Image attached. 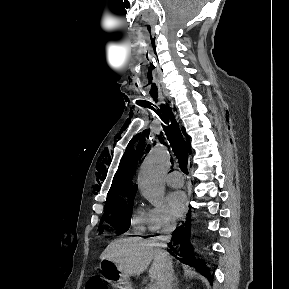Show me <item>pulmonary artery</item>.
<instances>
[{
	"mask_svg": "<svg viewBox=\"0 0 289 289\" xmlns=\"http://www.w3.org/2000/svg\"><path fill=\"white\" fill-rule=\"evenodd\" d=\"M165 181L168 186L173 188H179L183 185V176L179 171H172L170 172L166 178Z\"/></svg>",
	"mask_w": 289,
	"mask_h": 289,
	"instance_id": "e3ab8cb5",
	"label": "pulmonary artery"
}]
</instances>
